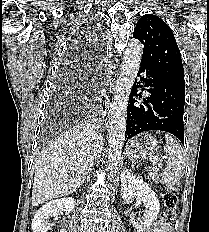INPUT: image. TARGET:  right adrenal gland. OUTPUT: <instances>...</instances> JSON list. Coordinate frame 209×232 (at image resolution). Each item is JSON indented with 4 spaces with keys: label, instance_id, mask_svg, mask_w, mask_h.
<instances>
[{
    "label": "right adrenal gland",
    "instance_id": "1",
    "mask_svg": "<svg viewBox=\"0 0 209 232\" xmlns=\"http://www.w3.org/2000/svg\"><path fill=\"white\" fill-rule=\"evenodd\" d=\"M89 178H90V176H89V174H87V176L83 179V182H84L85 179L88 181Z\"/></svg>",
    "mask_w": 209,
    "mask_h": 232
}]
</instances>
